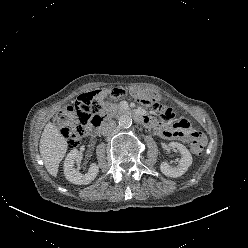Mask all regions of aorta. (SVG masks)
Wrapping results in <instances>:
<instances>
[{
    "instance_id": "762f6f07",
    "label": "aorta",
    "mask_w": 248,
    "mask_h": 248,
    "mask_svg": "<svg viewBox=\"0 0 248 248\" xmlns=\"http://www.w3.org/2000/svg\"><path fill=\"white\" fill-rule=\"evenodd\" d=\"M118 120L122 128H129L132 125V118L129 115H121Z\"/></svg>"
}]
</instances>
